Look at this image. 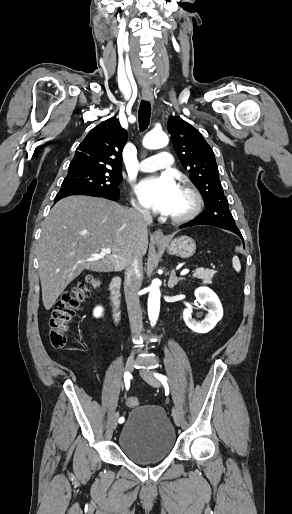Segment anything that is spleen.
Listing matches in <instances>:
<instances>
[{
    "label": "spleen",
    "mask_w": 292,
    "mask_h": 514,
    "mask_svg": "<svg viewBox=\"0 0 292 514\" xmlns=\"http://www.w3.org/2000/svg\"><path fill=\"white\" fill-rule=\"evenodd\" d=\"M232 266H233L234 270H236V272H240L241 264H240V260H239L238 256H234V258L232 260Z\"/></svg>",
    "instance_id": "3e777b00"
}]
</instances>
